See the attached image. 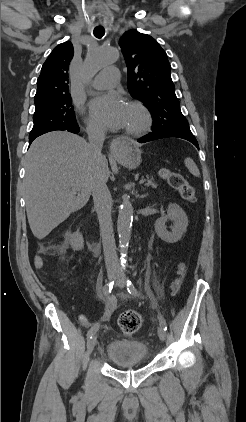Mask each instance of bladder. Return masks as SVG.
Here are the masks:
<instances>
[{
	"label": "bladder",
	"mask_w": 246,
	"mask_h": 422,
	"mask_svg": "<svg viewBox=\"0 0 246 422\" xmlns=\"http://www.w3.org/2000/svg\"><path fill=\"white\" fill-rule=\"evenodd\" d=\"M106 356L118 367H132L146 363L148 349L139 340L116 338L107 343Z\"/></svg>",
	"instance_id": "1"
}]
</instances>
